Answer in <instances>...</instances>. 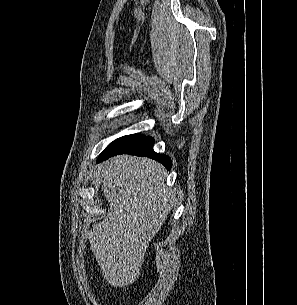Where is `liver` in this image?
<instances>
[{
    "mask_svg": "<svg viewBox=\"0 0 297 305\" xmlns=\"http://www.w3.org/2000/svg\"><path fill=\"white\" fill-rule=\"evenodd\" d=\"M99 168L110 208L93 225L90 247L106 282L125 287L138 279L149 242L167 219L174 195L165 186V168L152 159L124 154Z\"/></svg>",
    "mask_w": 297,
    "mask_h": 305,
    "instance_id": "1",
    "label": "liver"
}]
</instances>
